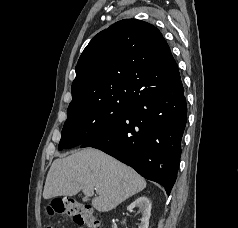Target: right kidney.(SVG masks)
<instances>
[{"mask_svg": "<svg viewBox=\"0 0 238 228\" xmlns=\"http://www.w3.org/2000/svg\"><path fill=\"white\" fill-rule=\"evenodd\" d=\"M135 207H138L142 213L141 223L138 228H148L151 215V201L145 196L139 197L127 207V210L132 211Z\"/></svg>", "mask_w": 238, "mask_h": 228, "instance_id": "obj_1", "label": "right kidney"}]
</instances>
